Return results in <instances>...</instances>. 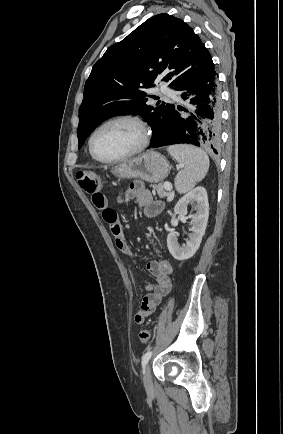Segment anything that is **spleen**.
<instances>
[{"label": "spleen", "instance_id": "1", "mask_svg": "<svg viewBox=\"0 0 283 434\" xmlns=\"http://www.w3.org/2000/svg\"><path fill=\"white\" fill-rule=\"evenodd\" d=\"M168 152L183 166L175 178L179 193L190 191L206 176L210 161L203 150L191 145H177L169 147Z\"/></svg>", "mask_w": 283, "mask_h": 434}]
</instances>
